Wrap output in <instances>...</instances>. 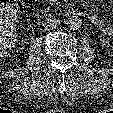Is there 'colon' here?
I'll list each match as a JSON object with an SVG mask.
<instances>
[{
  "label": "colon",
  "mask_w": 113,
  "mask_h": 113,
  "mask_svg": "<svg viewBox=\"0 0 113 113\" xmlns=\"http://www.w3.org/2000/svg\"><path fill=\"white\" fill-rule=\"evenodd\" d=\"M29 1L31 0H0V57L10 50L14 40V30L12 25L6 20V11H9L11 16H15L19 4Z\"/></svg>",
  "instance_id": "1"
}]
</instances>
